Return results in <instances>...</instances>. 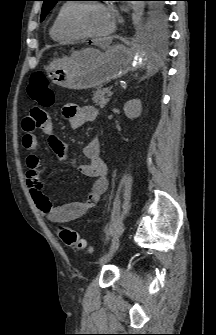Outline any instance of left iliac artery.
<instances>
[{"instance_id":"obj_1","label":"left iliac artery","mask_w":216,"mask_h":335,"mask_svg":"<svg viewBox=\"0 0 216 335\" xmlns=\"http://www.w3.org/2000/svg\"><path fill=\"white\" fill-rule=\"evenodd\" d=\"M119 238L117 236H114L111 240V243L109 245L108 251H115L119 247Z\"/></svg>"}]
</instances>
